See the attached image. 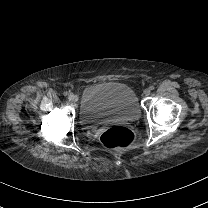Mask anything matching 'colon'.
Returning <instances> with one entry per match:
<instances>
[{
    "label": "colon",
    "mask_w": 208,
    "mask_h": 208,
    "mask_svg": "<svg viewBox=\"0 0 208 208\" xmlns=\"http://www.w3.org/2000/svg\"><path fill=\"white\" fill-rule=\"evenodd\" d=\"M132 141V133L128 129L122 127L112 128L102 135L103 144L109 148L125 147Z\"/></svg>",
    "instance_id": "5ec220e1"
}]
</instances>
